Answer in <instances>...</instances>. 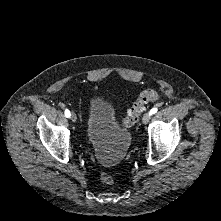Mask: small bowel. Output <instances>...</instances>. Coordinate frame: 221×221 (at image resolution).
<instances>
[{"label":"small bowel","instance_id":"obj_1","mask_svg":"<svg viewBox=\"0 0 221 221\" xmlns=\"http://www.w3.org/2000/svg\"><path fill=\"white\" fill-rule=\"evenodd\" d=\"M162 85L166 86V83H165V82H162Z\"/></svg>","mask_w":221,"mask_h":221}]
</instances>
